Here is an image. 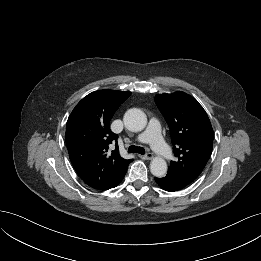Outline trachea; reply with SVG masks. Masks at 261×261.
I'll return each instance as SVG.
<instances>
[{
	"label": "trachea",
	"instance_id": "trachea-1",
	"mask_svg": "<svg viewBox=\"0 0 261 261\" xmlns=\"http://www.w3.org/2000/svg\"><path fill=\"white\" fill-rule=\"evenodd\" d=\"M128 153H139V154L144 155L145 154V149L140 147V146L131 145L128 148Z\"/></svg>",
	"mask_w": 261,
	"mask_h": 261
}]
</instances>
